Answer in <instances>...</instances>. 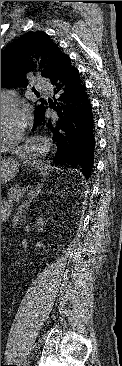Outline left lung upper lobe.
Listing matches in <instances>:
<instances>
[{"mask_svg":"<svg viewBox=\"0 0 122 366\" xmlns=\"http://www.w3.org/2000/svg\"><path fill=\"white\" fill-rule=\"evenodd\" d=\"M28 53L41 57V75L45 78L67 57L45 32H28L1 52V86H18L20 82L27 86L25 74L35 66L27 59ZM33 92L40 95L35 89Z\"/></svg>","mask_w":122,"mask_h":366,"instance_id":"left-lung-upper-lobe-1","label":"left lung upper lobe"}]
</instances>
